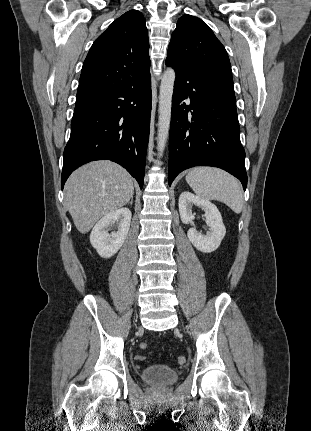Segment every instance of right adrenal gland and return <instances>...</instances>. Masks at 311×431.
<instances>
[{"mask_svg": "<svg viewBox=\"0 0 311 431\" xmlns=\"http://www.w3.org/2000/svg\"><path fill=\"white\" fill-rule=\"evenodd\" d=\"M130 206H133V198H131V202H129Z\"/></svg>", "mask_w": 311, "mask_h": 431, "instance_id": "2a0ac1e0", "label": "right adrenal gland"}]
</instances>
